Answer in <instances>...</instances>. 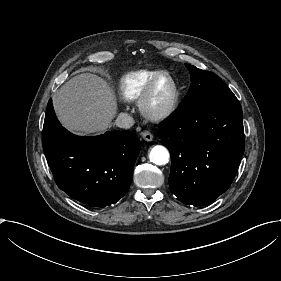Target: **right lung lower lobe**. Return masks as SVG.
Wrapping results in <instances>:
<instances>
[{"instance_id":"1","label":"right lung lower lobe","mask_w":281,"mask_h":281,"mask_svg":"<svg viewBox=\"0 0 281 281\" xmlns=\"http://www.w3.org/2000/svg\"><path fill=\"white\" fill-rule=\"evenodd\" d=\"M43 150L58 187L91 207H108L125 195L140 151L136 134L110 131L79 137L61 126L52 99L42 132Z\"/></svg>"}]
</instances>
